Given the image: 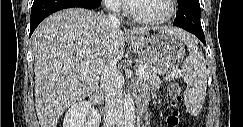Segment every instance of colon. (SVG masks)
I'll use <instances>...</instances> for the list:
<instances>
[{
  "label": "colon",
  "instance_id": "1",
  "mask_svg": "<svg viewBox=\"0 0 243 127\" xmlns=\"http://www.w3.org/2000/svg\"><path fill=\"white\" fill-rule=\"evenodd\" d=\"M167 97L171 102V105L175 108L167 118V124L171 127L181 126V115L180 112L176 109L178 104L182 100L181 87L178 83H172L167 89Z\"/></svg>",
  "mask_w": 243,
  "mask_h": 127
}]
</instances>
